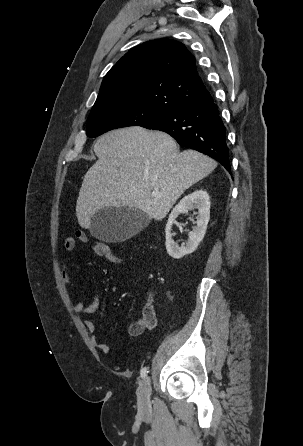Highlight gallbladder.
<instances>
[{
    "mask_svg": "<svg viewBox=\"0 0 303 446\" xmlns=\"http://www.w3.org/2000/svg\"><path fill=\"white\" fill-rule=\"evenodd\" d=\"M145 213L127 207H109L98 210L91 219V234L102 241H124L147 225Z\"/></svg>",
    "mask_w": 303,
    "mask_h": 446,
    "instance_id": "bac80fb5",
    "label": "gallbladder"
}]
</instances>
